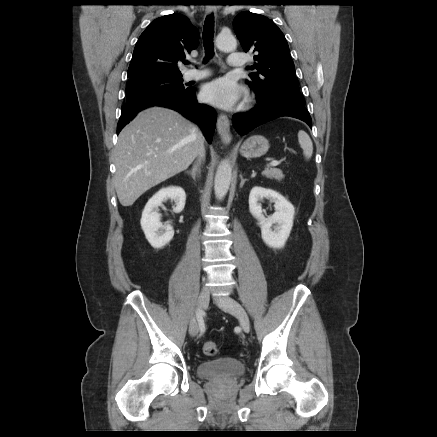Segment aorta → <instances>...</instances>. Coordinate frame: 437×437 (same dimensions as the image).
<instances>
[{"mask_svg":"<svg viewBox=\"0 0 437 437\" xmlns=\"http://www.w3.org/2000/svg\"><path fill=\"white\" fill-rule=\"evenodd\" d=\"M216 46L222 51L234 50L237 46L235 37L231 33H220L216 37ZM232 178V167L228 160L218 166L214 180V190L217 199L222 200L228 192Z\"/></svg>","mask_w":437,"mask_h":437,"instance_id":"aorta-1","label":"aorta"}]
</instances>
